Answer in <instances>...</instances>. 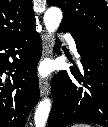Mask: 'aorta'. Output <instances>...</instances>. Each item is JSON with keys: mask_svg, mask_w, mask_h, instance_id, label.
<instances>
[{"mask_svg": "<svg viewBox=\"0 0 108 127\" xmlns=\"http://www.w3.org/2000/svg\"><path fill=\"white\" fill-rule=\"evenodd\" d=\"M62 21V11L58 7H50L44 14V24L49 33H54ZM51 110L50 99H44L38 105L34 122L36 127H45L48 115Z\"/></svg>", "mask_w": 108, "mask_h": 127, "instance_id": "aorta-1", "label": "aorta"}]
</instances>
